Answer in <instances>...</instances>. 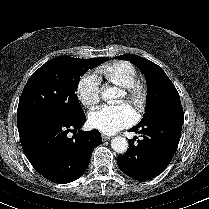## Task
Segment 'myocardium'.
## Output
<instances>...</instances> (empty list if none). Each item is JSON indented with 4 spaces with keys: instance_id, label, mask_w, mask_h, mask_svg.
I'll use <instances>...</instances> for the list:
<instances>
[{
    "instance_id": "1",
    "label": "myocardium",
    "mask_w": 209,
    "mask_h": 209,
    "mask_svg": "<svg viewBox=\"0 0 209 209\" xmlns=\"http://www.w3.org/2000/svg\"><path fill=\"white\" fill-rule=\"evenodd\" d=\"M123 90L128 102L134 105L140 114L143 113L148 97L146 84L139 79H135L128 85L124 86Z\"/></svg>"
}]
</instances>
